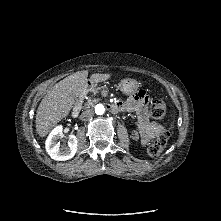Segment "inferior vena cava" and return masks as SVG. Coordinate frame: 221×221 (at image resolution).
<instances>
[{"label": "inferior vena cava", "mask_w": 221, "mask_h": 221, "mask_svg": "<svg viewBox=\"0 0 221 221\" xmlns=\"http://www.w3.org/2000/svg\"><path fill=\"white\" fill-rule=\"evenodd\" d=\"M94 115V111L92 109L86 110L84 111L81 115H80V119L82 121H87L89 120L92 116Z\"/></svg>", "instance_id": "1"}]
</instances>
